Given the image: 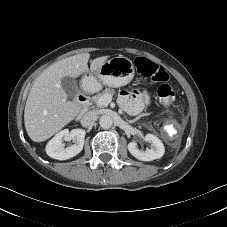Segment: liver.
Listing matches in <instances>:
<instances>
[{
  "label": "liver",
  "mask_w": 227,
  "mask_h": 227,
  "mask_svg": "<svg viewBox=\"0 0 227 227\" xmlns=\"http://www.w3.org/2000/svg\"><path fill=\"white\" fill-rule=\"evenodd\" d=\"M89 53L70 56L45 69L34 81L24 110V124L28 136L34 142H43L80 112L81 106L67 100L61 86L65 76L77 78L81 74L97 70L109 56L95 58L88 68Z\"/></svg>",
  "instance_id": "6515ba94"
}]
</instances>
